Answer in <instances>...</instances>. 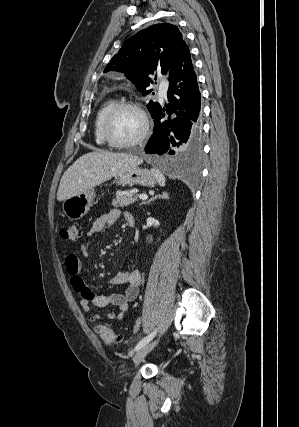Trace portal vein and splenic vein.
I'll use <instances>...</instances> for the list:
<instances>
[{
	"label": "portal vein and splenic vein",
	"mask_w": 299,
	"mask_h": 427,
	"mask_svg": "<svg viewBox=\"0 0 299 427\" xmlns=\"http://www.w3.org/2000/svg\"><path fill=\"white\" fill-rule=\"evenodd\" d=\"M138 197L142 200H146L148 198V196L146 194H141Z\"/></svg>",
	"instance_id": "1"
}]
</instances>
